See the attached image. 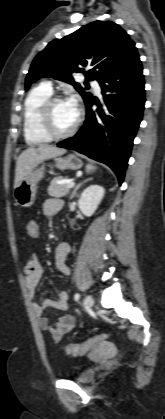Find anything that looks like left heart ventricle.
<instances>
[{
  "instance_id": "b2bd125f",
  "label": "left heart ventricle",
  "mask_w": 165,
  "mask_h": 419,
  "mask_svg": "<svg viewBox=\"0 0 165 419\" xmlns=\"http://www.w3.org/2000/svg\"><path fill=\"white\" fill-rule=\"evenodd\" d=\"M52 119L54 128L58 132H65L69 130L76 122L67 101L58 102L53 106Z\"/></svg>"
}]
</instances>
